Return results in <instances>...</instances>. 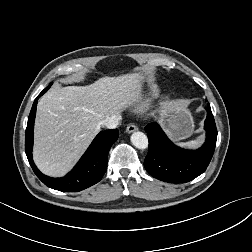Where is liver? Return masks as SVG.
Segmentation results:
<instances>
[{
  "instance_id": "liver-1",
  "label": "liver",
  "mask_w": 252,
  "mask_h": 252,
  "mask_svg": "<svg viewBox=\"0 0 252 252\" xmlns=\"http://www.w3.org/2000/svg\"><path fill=\"white\" fill-rule=\"evenodd\" d=\"M144 76L102 77L90 85L51 89L38 102L33 157L48 176L65 175L99 133L101 122L140 101Z\"/></svg>"
}]
</instances>
